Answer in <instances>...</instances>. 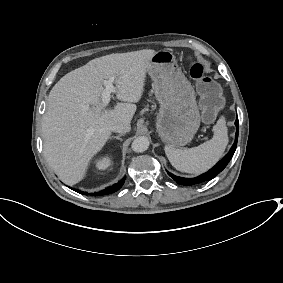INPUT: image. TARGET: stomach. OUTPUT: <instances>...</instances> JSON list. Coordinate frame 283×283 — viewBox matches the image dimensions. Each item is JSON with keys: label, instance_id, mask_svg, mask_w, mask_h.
<instances>
[{"label": "stomach", "instance_id": "obj_1", "mask_svg": "<svg viewBox=\"0 0 283 283\" xmlns=\"http://www.w3.org/2000/svg\"><path fill=\"white\" fill-rule=\"evenodd\" d=\"M147 73L160 103L157 132L161 140L173 147L189 143L200 126L195 91L181 72L175 56L160 50L150 59Z\"/></svg>", "mask_w": 283, "mask_h": 283}]
</instances>
